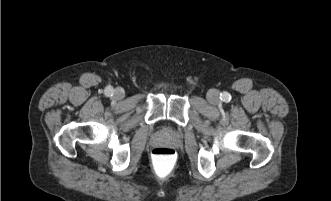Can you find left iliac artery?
<instances>
[{"mask_svg":"<svg viewBox=\"0 0 331 201\" xmlns=\"http://www.w3.org/2000/svg\"><path fill=\"white\" fill-rule=\"evenodd\" d=\"M220 99H221L222 101L227 102V101H229V100L231 99V96H230V94H228L227 92H224V93H221V95H220Z\"/></svg>","mask_w":331,"mask_h":201,"instance_id":"left-iliac-artery-1","label":"left iliac artery"}]
</instances>
